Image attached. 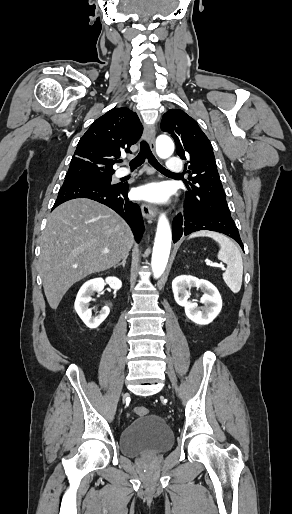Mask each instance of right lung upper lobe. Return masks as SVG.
Segmentation results:
<instances>
[{
    "label": "right lung upper lobe",
    "instance_id": "right-lung-upper-lobe-1",
    "mask_svg": "<svg viewBox=\"0 0 292 514\" xmlns=\"http://www.w3.org/2000/svg\"><path fill=\"white\" fill-rule=\"evenodd\" d=\"M138 116L127 108H114L93 122L78 142L68 172H115L121 152L141 137Z\"/></svg>",
    "mask_w": 292,
    "mask_h": 514
}]
</instances>
